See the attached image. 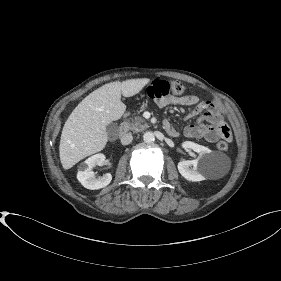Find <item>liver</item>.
<instances>
[{"label":"liver","mask_w":281,"mask_h":281,"mask_svg":"<svg viewBox=\"0 0 281 281\" xmlns=\"http://www.w3.org/2000/svg\"><path fill=\"white\" fill-rule=\"evenodd\" d=\"M148 78L107 83L86 96L66 120L59 145L64 169L104 149L108 141L106 127L120 119L126 110L121 95L131 97L148 83Z\"/></svg>","instance_id":"6515ba94"}]
</instances>
